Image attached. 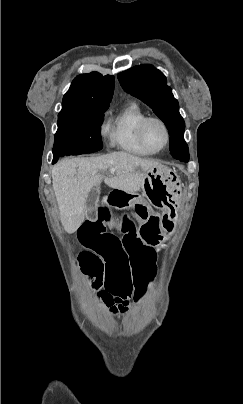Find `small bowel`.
I'll list each match as a JSON object with an SVG mask.
<instances>
[{"label": "small bowel", "instance_id": "small-bowel-1", "mask_svg": "<svg viewBox=\"0 0 243 404\" xmlns=\"http://www.w3.org/2000/svg\"><path fill=\"white\" fill-rule=\"evenodd\" d=\"M104 206H109L107 196ZM121 236L108 231L105 219L88 218L79 229L85 250L78 256L90 275L98 300L112 315L128 311L129 299L143 295L156 271V251L142 242L134 223L125 217L118 225Z\"/></svg>", "mask_w": 243, "mask_h": 404}]
</instances>
